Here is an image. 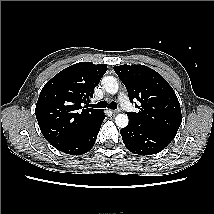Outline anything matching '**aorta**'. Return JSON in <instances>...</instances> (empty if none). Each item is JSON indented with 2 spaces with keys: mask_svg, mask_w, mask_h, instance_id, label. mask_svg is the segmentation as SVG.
I'll list each match as a JSON object with an SVG mask.
<instances>
[{
  "mask_svg": "<svg viewBox=\"0 0 214 214\" xmlns=\"http://www.w3.org/2000/svg\"><path fill=\"white\" fill-rule=\"evenodd\" d=\"M101 84L103 88L105 89L106 92L109 94H116L118 92V81L115 77L113 76H105L101 80ZM129 119L126 114H118L115 117V123L118 127L124 128L128 125Z\"/></svg>",
  "mask_w": 214,
  "mask_h": 214,
  "instance_id": "1",
  "label": "aorta"
}]
</instances>
